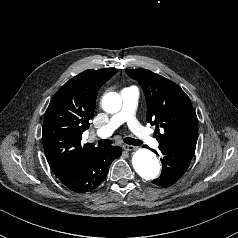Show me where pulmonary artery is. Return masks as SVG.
<instances>
[{"label":"pulmonary artery","instance_id":"e3ab8cb5","mask_svg":"<svg viewBox=\"0 0 238 238\" xmlns=\"http://www.w3.org/2000/svg\"><path fill=\"white\" fill-rule=\"evenodd\" d=\"M122 108L114 114L109 122L96 131L98 137H109L121 124L127 123L134 135L144 143L157 147L158 142L150 132L135 118V110L138 103L139 93L134 87L124 88L121 91Z\"/></svg>","mask_w":238,"mask_h":238}]
</instances>
